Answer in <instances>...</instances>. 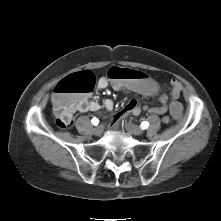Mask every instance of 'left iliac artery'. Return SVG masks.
Returning <instances> with one entry per match:
<instances>
[{"label":"left iliac artery","instance_id":"obj_1","mask_svg":"<svg viewBox=\"0 0 221 221\" xmlns=\"http://www.w3.org/2000/svg\"><path fill=\"white\" fill-rule=\"evenodd\" d=\"M148 126H149V123H148L147 121H143V122L141 123V128H142V129H147Z\"/></svg>","mask_w":221,"mask_h":221}]
</instances>
